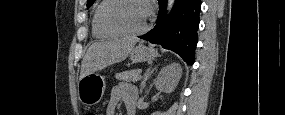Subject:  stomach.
Returning <instances> with one entry per match:
<instances>
[{
    "label": "stomach",
    "instance_id": "obj_1",
    "mask_svg": "<svg viewBox=\"0 0 285 115\" xmlns=\"http://www.w3.org/2000/svg\"><path fill=\"white\" fill-rule=\"evenodd\" d=\"M157 56L155 49L139 44L134 47L130 53V58L133 62H145ZM106 89L105 79L95 73H90L78 82V97L79 100L87 105L93 106L100 102Z\"/></svg>",
    "mask_w": 285,
    "mask_h": 115
}]
</instances>
